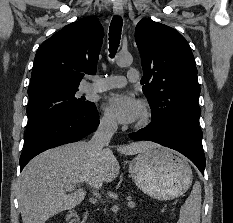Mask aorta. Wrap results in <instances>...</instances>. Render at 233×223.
<instances>
[{
  "mask_svg": "<svg viewBox=\"0 0 233 223\" xmlns=\"http://www.w3.org/2000/svg\"><path fill=\"white\" fill-rule=\"evenodd\" d=\"M133 62V58L132 56H118V58H116V64L117 66H120V68H127V66H131Z\"/></svg>",
  "mask_w": 233,
  "mask_h": 223,
  "instance_id": "aorta-1",
  "label": "aorta"
}]
</instances>
